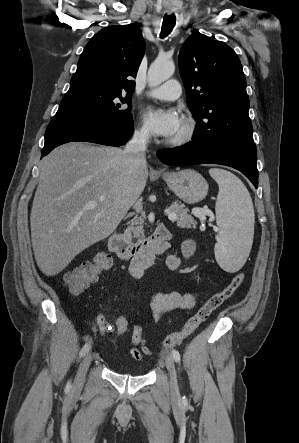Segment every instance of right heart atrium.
Returning a JSON list of instances; mask_svg holds the SVG:
<instances>
[{
  "label": "right heart atrium",
  "mask_w": 299,
  "mask_h": 443,
  "mask_svg": "<svg viewBox=\"0 0 299 443\" xmlns=\"http://www.w3.org/2000/svg\"><path fill=\"white\" fill-rule=\"evenodd\" d=\"M149 131L145 126H139L135 130V137L139 140L146 141L149 138Z\"/></svg>",
  "instance_id": "obj_1"
}]
</instances>
